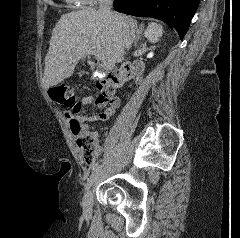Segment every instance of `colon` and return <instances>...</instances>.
I'll use <instances>...</instances> for the list:
<instances>
[{"label": "colon", "instance_id": "1", "mask_svg": "<svg viewBox=\"0 0 240 238\" xmlns=\"http://www.w3.org/2000/svg\"><path fill=\"white\" fill-rule=\"evenodd\" d=\"M143 67L140 64H131L127 68L112 71L107 74L104 80L98 83L99 95L97 98L98 106H109L117 90L129 80H139L143 76ZM50 98L67 107H73V115H78L81 103H76L75 88L66 83L51 87L48 90ZM70 129L77 139L82 158L87 163H93L98 156V141L90 129H88L76 117L69 119Z\"/></svg>", "mask_w": 240, "mask_h": 238}]
</instances>
